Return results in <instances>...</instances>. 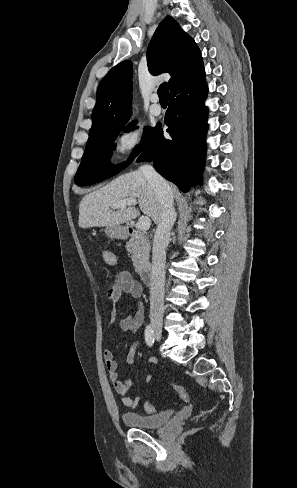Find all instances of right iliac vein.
<instances>
[{
    "label": "right iliac vein",
    "mask_w": 297,
    "mask_h": 488,
    "mask_svg": "<svg viewBox=\"0 0 297 488\" xmlns=\"http://www.w3.org/2000/svg\"><path fill=\"white\" fill-rule=\"evenodd\" d=\"M151 325L157 340H160L162 336V322L158 319H153Z\"/></svg>",
    "instance_id": "63e3f726"
}]
</instances>
